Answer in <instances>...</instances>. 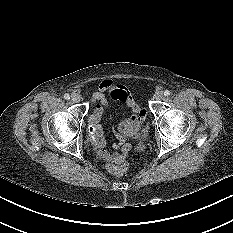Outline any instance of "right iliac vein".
I'll return each mask as SVG.
<instances>
[{"instance_id": "1", "label": "right iliac vein", "mask_w": 233, "mask_h": 233, "mask_svg": "<svg viewBox=\"0 0 233 233\" xmlns=\"http://www.w3.org/2000/svg\"><path fill=\"white\" fill-rule=\"evenodd\" d=\"M80 100H81V98H80V96L77 95V94H73V95L71 96V101L74 102V103H78V102H80Z\"/></svg>"}]
</instances>
